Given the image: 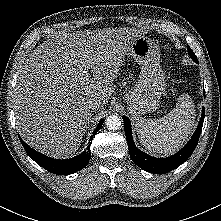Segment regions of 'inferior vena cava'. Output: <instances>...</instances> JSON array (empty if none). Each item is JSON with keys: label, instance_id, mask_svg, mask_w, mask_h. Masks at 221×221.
<instances>
[{"label": "inferior vena cava", "instance_id": "1", "mask_svg": "<svg viewBox=\"0 0 221 221\" xmlns=\"http://www.w3.org/2000/svg\"><path fill=\"white\" fill-rule=\"evenodd\" d=\"M101 106H102V104L98 100H91V101L87 102V107L90 110H95Z\"/></svg>", "mask_w": 221, "mask_h": 221}]
</instances>
